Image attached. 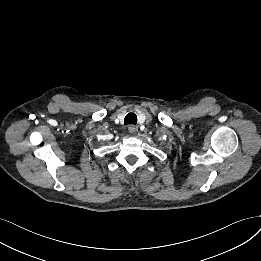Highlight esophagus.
Here are the masks:
<instances>
[{"mask_svg":"<svg viewBox=\"0 0 261 261\" xmlns=\"http://www.w3.org/2000/svg\"><path fill=\"white\" fill-rule=\"evenodd\" d=\"M128 131H129V133H131V134H135L136 131H137V128H136L134 125H129V126H128Z\"/></svg>","mask_w":261,"mask_h":261,"instance_id":"esophagus-1","label":"esophagus"}]
</instances>
